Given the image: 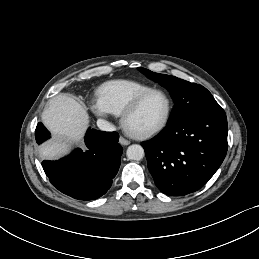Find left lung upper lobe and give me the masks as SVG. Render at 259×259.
<instances>
[{
  "label": "left lung upper lobe",
  "instance_id": "1",
  "mask_svg": "<svg viewBox=\"0 0 259 259\" xmlns=\"http://www.w3.org/2000/svg\"><path fill=\"white\" fill-rule=\"evenodd\" d=\"M148 78L166 87L175 102L168 124H173L198 114L218 109L220 105L211 93L201 85L191 83L174 76L154 73L138 68Z\"/></svg>",
  "mask_w": 259,
  "mask_h": 259
}]
</instances>
